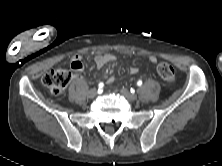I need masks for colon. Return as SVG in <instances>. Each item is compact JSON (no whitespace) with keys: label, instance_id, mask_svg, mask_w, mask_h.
Instances as JSON below:
<instances>
[{"label":"colon","instance_id":"obj_1","mask_svg":"<svg viewBox=\"0 0 222 166\" xmlns=\"http://www.w3.org/2000/svg\"><path fill=\"white\" fill-rule=\"evenodd\" d=\"M156 71L165 83L169 85L174 83L175 70L171 64L160 62L156 66ZM71 80L72 73L65 68L51 70L42 77L43 85L54 95H60L70 84Z\"/></svg>","mask_w":222,"mask_h":166}]
</instances>
